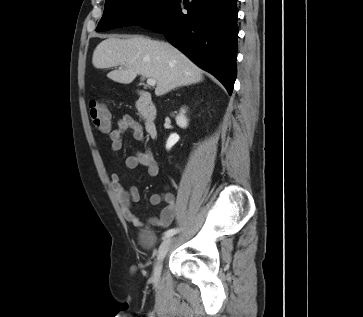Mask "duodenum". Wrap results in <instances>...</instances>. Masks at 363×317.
I'll list each match as a JSON object with an SVG mask.
<instances>
[{"mask_svg":"<svg viewBox=\"0 0 363 317\" xmlns=\"http://www.w3.org/2000/svg\"><path fill=\"white\" fill-rule=\"evenodd\" d=\"M138 108L144 117V125L151 137H157L158 127L155 122V106L151 95L146 91H140L137 98Z\"/></svg>","mask_w":363,"mask_h":317,"instance_id":"1","label":"duodenum"}]
</instances>
